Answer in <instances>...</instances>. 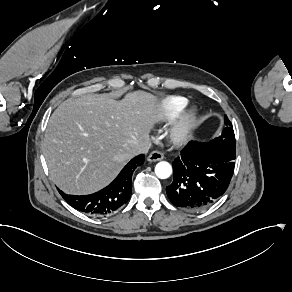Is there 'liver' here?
<instances>
[{"label": "liver", "mask_w": 292, "mask_h": 292, "mask_svg": "<svg viewBox=\"0 0 292 292\" xmlns=\"http://www.w3.org/2000/svg\"><path fill=\"white\" fill-rule=\"evenodd\" d=\"M159 119L157 98L141 91L122 102L103 94L67 100L51 116L42 143L52 179L70 194L101 189Z\"/></svg>", "instance_id": "6515ba94"}]
</instances>
